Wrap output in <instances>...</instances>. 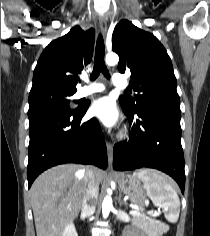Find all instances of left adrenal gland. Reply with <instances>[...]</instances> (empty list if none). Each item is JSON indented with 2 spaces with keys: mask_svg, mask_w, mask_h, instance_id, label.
Wrapping results in <instances>:
<instances>
[{
  "mask_svg": "<svg viewBox=\"0 0 210 236\" xmlns=\"http://www.w3.org/2000/svg\"><path fill=\"white\" fill-rule=\"evenodd\" d=\"M121 193L119 194V199H118V202L120 205H125L124 201L122 200V197H121Z\"/></svg>",
  "mask_w": 210,
  "mask_h": 236,
  "instance_id": "obj_1",
  "label": "left adrenal gland"
}]
</instances>
